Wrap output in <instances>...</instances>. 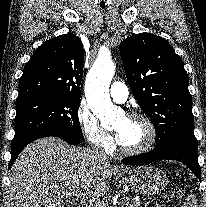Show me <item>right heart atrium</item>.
Returning <instances> with one entry per match:
<instances>
[{"mask_svg": "<svg viewBox=\"0 0 206 207\" xmlns=\"http://www.w3.org/2000/svg\"><path fill=\"white\" fill-rule=\"evenodd\" d=\"M79 128L88 142L97 149L109 152L114 148V141L106 131L95 114L82 102L76 112Z\"/></svg>", "mask_w": 206, "mask_h": 207, "instance_id": "right-heart-atrium-1", "label": "right heart atrium"}]
</instances>
